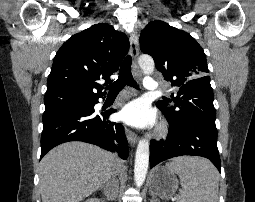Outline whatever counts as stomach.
<instances>
[{"label": "stomach", "instance_id": "obj_1", "mask_svg": "<svg viewBox=\"0 0 255 202\" xmlns=\"http://www.w3.org/2000/svg\"><path fill=\"white\" fill-rule=\"evenodd\" d=\"M149 189L152 195L167 200L176 195L178 179L166 167H156L149 177Z\"/></svg>", "mask_w": 255, "mask_h": 202}]
</instances>
